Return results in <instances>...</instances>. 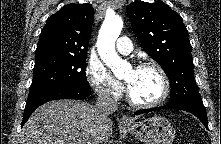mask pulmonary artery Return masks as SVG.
<instances>
[{"label": "pulmonary artery", "mask_w": 221, "mask_h": 144, "mask_svg": "<svg viewBox=\"0 0 221 144\" xmlns=\"http://www.w3.org/2000/svg\"><path fill=\"white\" fill-rule=\"evenodd\" d=\"M116 48L119 51V53L123 55H128L132 52L133 45L128 37L122 36L117 40Z\"/></svg>", "instance_id": "obj_1"}]
</instances>
